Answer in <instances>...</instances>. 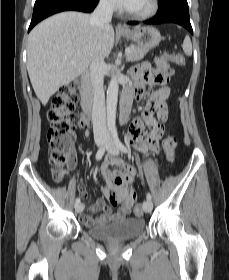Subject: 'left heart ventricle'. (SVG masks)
<instances>
[{"mask_svg": "<svg viewBox=\"0 0 229 280\" xmlns=\"http://www.w3.org/2000/svg\"><path fill=\"white\" fill-rule=\"evenodd\" d=\"M149 5V0H133L127 9L132 11H143Z\"/></svg>", "mask_w": 229, "mask_h": 280, "instance_id": "1", "label": "left heart ventricle"}]
</instances>
